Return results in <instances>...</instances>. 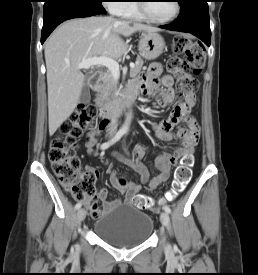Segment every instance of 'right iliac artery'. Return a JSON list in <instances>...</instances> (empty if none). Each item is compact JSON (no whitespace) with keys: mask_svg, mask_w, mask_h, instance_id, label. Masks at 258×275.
<instances>
[{"mask_svg":"<svg viewBox=\"0 0 258 275\" xmlns=\"http://www.w3.org/2000/svg\"><path fill=\"white\" fill-rule=\"evenodd\" d=\"M124 132L123 131H118L116 133V135L108 142H105L101 145V149H106L108 147H110L111 145H113L114 143H116L117 141H119L121 139V137L123 136ZM82 206V204L80 202H78L75 205V209H80Z\"/></svg>","mask_w":258,"mask_h":275,"instance_id":"right-iliac-artery-1","label":"right iliac artery"}]
</instances>
